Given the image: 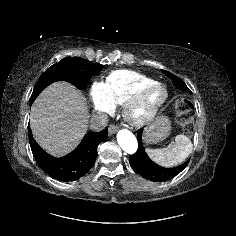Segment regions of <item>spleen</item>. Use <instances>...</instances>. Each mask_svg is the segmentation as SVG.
Listing matches in <instances>:
<instances>
[{"instance_id": "obj_1", "label": "spleen", "mask_w": 236, "mask_h": 236, "mask_svg": "<svg viewBox=\"0 0 236 236\" xmlns=\"http://www.w3.org/2000/svg\"><path fill=\"white\" fill-rule=\"evenodd\" d=\"M193 145L190 139L179 134L175 137V144H169L166 148L146 149L147 155L157 164L163 167H173L191 154Z\"/></svg>"}]
</instances>
